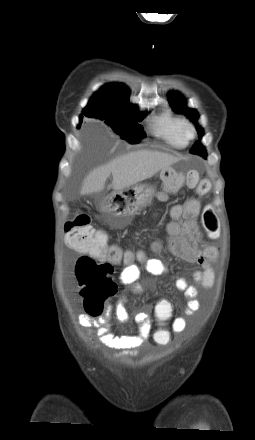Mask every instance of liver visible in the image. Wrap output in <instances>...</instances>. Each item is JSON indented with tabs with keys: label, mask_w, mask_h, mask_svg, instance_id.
<instances>
[{
	"label": "liver",
	"mask_w": 255,
	"mask_h": 440,
	"mask_svg": "<svg viewBox=\"0 0 255 440\" xmlns=\"http://www.w3.org/2000/svg\"><path fill=\"white\" fill-rule=\"evenodd\" d=\"M179 161L178 157L159 152L140 150L120 156L91 171L83 181L81 195L103 191L107 178L112 174V188L121 191L154 176Z\"/></svg>",
	"instance_id": "1"
}]
</instances>
